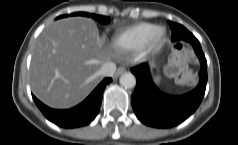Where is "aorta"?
I'll return each instance as SVG.
<instances>
[{"mask_svg": "<svg viewBox=\"0 0 238 145\" xmlns=\"http://www.w3.org/2000/svg\"><path fill=\"white\" fill-rule=\"evenodd\" d=\"M120 84L125 88H133L136 85V78L130 72H125L120 76Z\"/></svg>", "mask_w": 238, "mask_h": 145, "instance_id": "aorta-1", "label": "aorta"}]
</instances>
